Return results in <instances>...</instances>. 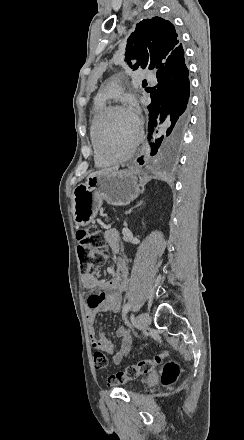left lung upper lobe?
I'll return each instance as SVG.
<instances>
[{"label": "left lung upper lobe", "mask_w": 244, "mask_h": 440, "mask_svg": "<svg viewBox=\"0 0 244 440\" xmlns=\"http://www.w3.org/2000/svg\"><path fill=\"white\" fill-rule=\"evenodd\" d=\"M126 49V61L134 70L138 67L158 70L184 58L174 25L160 17L139 22L127 40ZM131 59L137 63L132 65Z\"/></svg>", "instance_id": "left-lung-upper-lobe-1"}]
</instances>
